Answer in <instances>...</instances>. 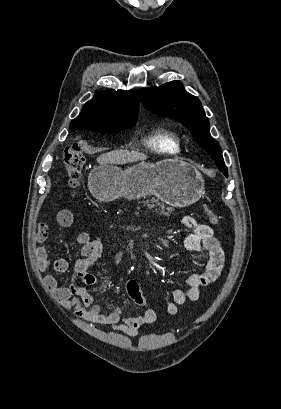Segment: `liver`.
<instances>
[{
  "instance_id": "obj_1",
  "label": "liver",
  "mask_w": 281,
  "mask_h": 409,
  "mask_svg": "<svg viewBox=\"0 0 281 409\" xmlns=\"http://www.w3.org/2000/svg\"><path fill=\"white\" fill-rule=\"evenodd\" d=\"M147 154L138 152V150H112L104 152L97 156L99 164H125V162H136V160H145Z\"/></svg>"
}]
</instances>
